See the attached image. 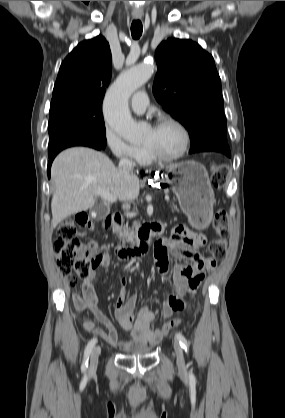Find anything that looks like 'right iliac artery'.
<instances>
[{
	"label": "right iliac artery",
	"mask_w": 285,
	"mask_h": 418,
	"mask_svg": "<svg viewBox=\"0 0 285 418\" xmlns=\"http://www.w3.org/2000/svg\"><path fill=\"white\" fill-rule=\"evenodd\" d=\"M96 342H97V339H96V338H92V339L88 342V344H87V346H86V348H85V351H84V358H83V363H82V365H81V370H82V371H84V372H85V371L87 370V368H88V358H89V355H90V353H91V351H92L93 347L95 346Z\"/></svg>",
	"instance_id": "82829eb1"
}]
</instances>
